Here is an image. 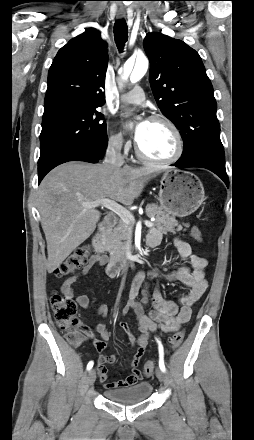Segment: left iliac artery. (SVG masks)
Returning a JSON list of instances; mask_svg holds the SVG:
<instances>
[{"mask_svg":"<svg viewBox=\"0 0 254 440\" xmlns=\"http://www.w3.org/2000/svg\"><path fill=\"white\" fill-rule=\"evenodd\" d=\"M158 345H159V367L160 369L165 372L166 368H165V364H164V351H163V346L161 344V342L159 340H157Z\"/></svg>","mask_w":254,"mask_h":440,"instance_id":"left-iliac-artery-1","label":"left iliac artery"}]
</instances>
